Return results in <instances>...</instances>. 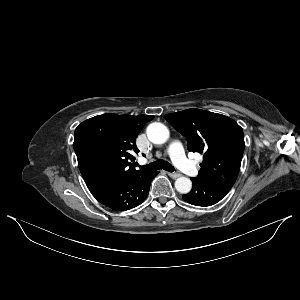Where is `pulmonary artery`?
<instances>
[{"mask_svg":"<svg viewBox=\"0 0 300 300\" xmlns=\"http://www.w3.org/2000/svg\"><path fill=\"white\" fill-rule=\"evenodd\" d=\"M168 154L174 164L184 173L189 176H196L198 174V167L186 158L183 145L180 142H172L168 147Z\"/></svg>","mask_w":300,"mask_h":300,"instance_id":"e3ab8cb5","label":"pulmonary artery"}]
</instances>
